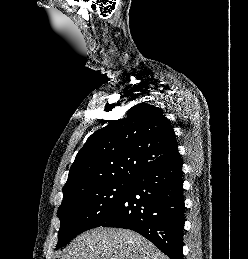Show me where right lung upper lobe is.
<instances>
[{
    "label": "right lung upper lobe",
    "instance_id": "1",
    "mask_svg": "<svg viewBox=\"0 0 248 259\" xmlns=\"http://www.w3.org/2000/svg\"><path fill=\"white\" fill-rule=\"evenodd\" d=\"M127 115L88 138L69 170L63 193L92 183L132 181L179 157L175 133L159 108L140 103Z\"/></svg>",
    "mask_w": 248,
    "mask_h": 259
}]
</instances>
